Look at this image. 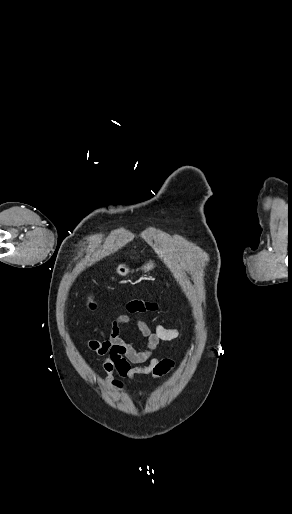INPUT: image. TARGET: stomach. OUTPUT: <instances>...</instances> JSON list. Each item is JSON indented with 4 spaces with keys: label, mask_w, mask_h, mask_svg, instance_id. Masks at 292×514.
Instances as JSON below:
<instances>
[{
    "label": "stomach",
    "mask_w": 292,
    "mask_h": 514,
    "mask_svg": "<svg viewBox=\"0 0 292 514\" xmlns=\"http://www.w3.org/2000/svg\"><path fill=\"white\" fill-rule=\"evenodd\" d=\"M153 268H154L153 262H148V264H145V266H142L141 270H143V272H150V270H153ZM116 272H117V274H119V276H127V274H129V270H128V268H126L125 264H120V266H118V268H116Z\"/></svg>",
    "instance_id": "0dacf381"
}]
</instances>
